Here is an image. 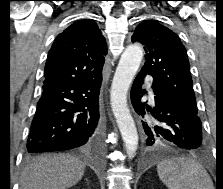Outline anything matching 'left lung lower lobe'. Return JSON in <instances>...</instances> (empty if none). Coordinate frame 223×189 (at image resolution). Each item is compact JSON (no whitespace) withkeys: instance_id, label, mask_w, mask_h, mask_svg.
Instances as JSON below:
<instances>
[{"instance_id":"0a47b994","label":"left lung lower lobe","mask_w":223,"mask_h":189,"mask_svg":"<svg viewBox=\"0 0 223 189\" xmlns=\"http://www.w3.org/2000/svg\"><path fill=\"white\" fill-rule=\"evenodd\" d=\"M147 74L146 70L141 69L131 89V102L136 113L143 116L150 112L154 118V123L141 121L146 146L152 147L162 142L187 151L201 149L202 125L198 115L173 103L158 82L153 80L152 84L155 106L141 102L142 95L146 93L141 86Z\"/></svg>"}]
</instances>
